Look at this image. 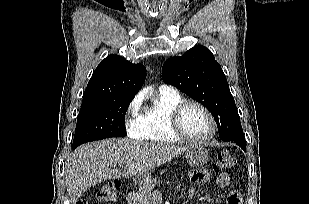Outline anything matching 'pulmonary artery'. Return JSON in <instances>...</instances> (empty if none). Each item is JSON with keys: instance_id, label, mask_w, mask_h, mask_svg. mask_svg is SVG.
<instances>
[{"instance_id": "pulmonary-artery-1", "label": "pulmonary artery", "mask_w": 309, "mask_h": 204, "mask_svg": "<svg viewBox=\"0 0 309 204\" xmlns=\"http://www.w3.org/2000/svg\"><path fill=\"white\" fill-rule=\"evenodd\" d=\"M160 91H175V89L172 86L162 85Z\"/></svg>"}]
</instances>
